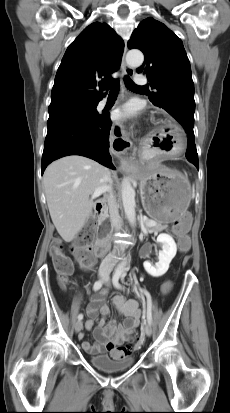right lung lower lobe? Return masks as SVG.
<instances>
[{
  "instance_id": "1",
  "label": "right lung lower lobe",
  "mask_w": 230,
  "mask_h": 413,
  "mask_svg": "<svg viewBox=\"0 0 230 413\" xmlns=\"http://www.w3.org/2000/svg\"><path fill=\"white\" fill-rule=\"evenodd\" d=\"M47 127L42 174L52 161L68 155L85 156L115 169L109 154L111 120L108 114L60 118L47 123Z\"/></svg>"
}]
</instances>
